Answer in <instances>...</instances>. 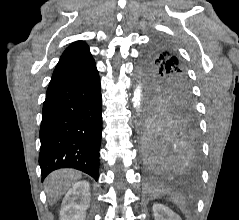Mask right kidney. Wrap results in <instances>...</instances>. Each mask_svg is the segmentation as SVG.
Listing matches in <instances>:
<instances>
[{"mask_svg": "<svg viewBox=\"0 0 239 220\" xmlns=\"http://www.w3.org/2000/svg\"><path fill=\"white\" fill-rule=\"evenodd\" d=\"M90 185L79 181L65 195L60 211V220H82L89 205Z\"/></svg>", "mask_w": 239, "mask_h": 220, "instance_id": "obj_1", "label": "right kidney"}]
</instances>
